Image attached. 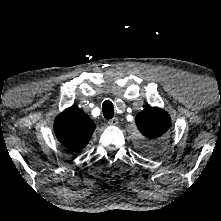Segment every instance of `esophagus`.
Here are the masks:
<instances>
[{
    "label": "esophagus",
    "instance_id": "34e87169",
    "mask_svg": "<svg viewBox=\"0 0 221 221\" xmlns=\"http://www.w3.org/2000/svg\"><path fill=\"white\" fill-rule=\"evenodd\" d=\"M110 126H116L118 124V118L114 117L108 121Z\"/></svg>",
    "mask_w": 221,
    "mask_h": 221
}]
</instances>
